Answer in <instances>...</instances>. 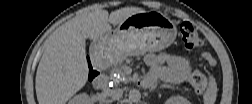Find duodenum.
Listing matches in <instances>:
<instances>
[{
	"label": "duodenum",
	"mask_w": 252,
	"mask_h": 104,
	"mask_svg": "<svg viewBox=\"0 0 252 104\" xmlns=\"http://www.w3.org/2000/svg\"><path fill=\"white\" fill-rule=\"evenodd\" d=\"M108 84V78L106 75L102 74L97 77L94 81V87L98 90H106Z\"/></svg>",
	"instance_id": "obj_1"
}]
</instances>
